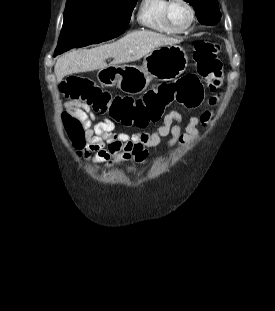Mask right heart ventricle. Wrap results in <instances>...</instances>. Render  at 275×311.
<instances>
[{
  "mask_svg": "<svg viewBox=\"0 0 275 311\" xmlns=\"http://www.w3.org/2000/svg\"><path fill=\"white\" fill-rule=\"evenodd\" d=\"M168 0H142L137 11V21L145 29L161 33L175 34L165 19L164 8Z\"/></svg>",
  "mask_w": 275,
  "mask_h": 311,
  "instance_id": "obj_1",
  "label": "right heart ventricle"
}]
</instances>
